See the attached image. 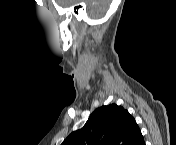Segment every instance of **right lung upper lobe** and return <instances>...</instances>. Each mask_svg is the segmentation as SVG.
Instances as JSON below:
<instances>
[{
    "mask_svg": "<svg viewBox=\"0 0 176 145\" xmlns=\"http://www.w3.org/2000/svg\"><path fill=\"white\" fill-rule=\"evenodd\" d=\"M62 145H145L130 113L110 104L97 108L83 128L72 132Z\"/></svg>",
    "mask_w": 176,
    "mask_h": 145,
    "instance_id": "right-lung-upper-lobe-1",
    "label": "right lung upper lobe"
}]
</instances>
